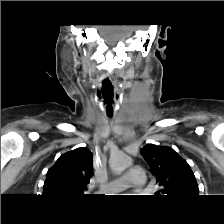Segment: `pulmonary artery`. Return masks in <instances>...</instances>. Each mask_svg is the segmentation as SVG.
<instances>
[{"label": "pulmonary artery", "instance_id": "obj_1", "mask_svg": "<svg viewBox=\"0 0 224 224\" xmlns=\"http://www.w3.org/2000/svg\"><path fill=\"white\" fill-rule=\"evenodd\" d=\"M145 186V172L140 167H132L124 175L111 179L101 188V191L106 193H116L128 187L143 188Z\"/></svg>", "mask_w": 224, "mask_h": 224}]
</instances>
